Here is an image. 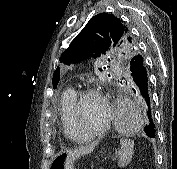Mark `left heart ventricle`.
Masks as SVG:
<instances>
[{
  "mask_svg": "<svg viewBox=\"0 0 177 169\" xmlns=\"http://www.w3.org/2000/svg\"><path fill=\"white\" fill-rule=\"evenodd\" d=\"M105 118L106 109L99 98H84L78 110V133L85 135L98 130Z\"/></svg>",
  "mask_w": 177,
  "mask_h": 169,
  "instance_id": "1",
  "label": "left heart ventricle"
}]
</instances>
